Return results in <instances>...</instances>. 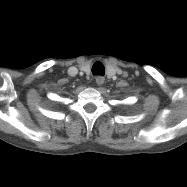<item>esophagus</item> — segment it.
I'll return each instance as SVG.
<instances>
[{
	"instance_id": "obj_1",
	"label": "esophagus",
	"mask_w": 187,
	"mask_h": 187,
	"mask_svg": "<svg viewBox=\"0 0 187 187\" xmlns=\"http://www.w3.org/2000/svg\"><path fill=\"white\" fill-rule=\"evenodd\" d=\"M95 81H96L97 85H102L105 82V78L103 76H97L95 78Z\"/></svg>"
}]
</instances>
